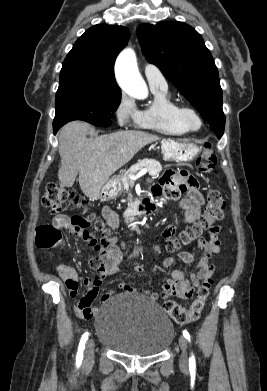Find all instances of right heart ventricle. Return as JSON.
<instances>
[{
    "instance_id": "1",
    "label": "right heart ventricle",
    "mask_w": 267,
    "mask_h": 391,
    "mask_svg": "<svg viewBox=\"0 0 267 391\" xmlns=\"http://www.w3.org/2000/svg\"><path fill=\"white\" fill-rule=\"evenodd\" d=\"M153 100L139 111L137 126L167 135H183L189 130L178 116L177 102L171 97L167 87H150Z\"/></svg>"
}]
</instances>
